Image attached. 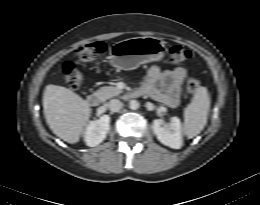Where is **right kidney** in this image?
Segmentation results:
<instances>
[{
  "mask_svg": "<svg viewBox=\"0 0 260 205\" xmlns=\"http://www.w3.org/2000/svg\"><path fill=\"white\" fill-rule=\"evenodd\" d=\"M110 130V117L108 115L101 116L98 120L91 121L84 135L86 145L95 147L106 138Z\"/></svg>",
  "mask_w": 260,
  "mask_h": 205,
  "instance_id": "1",
  "label": "right kidney"
}]
</instances>
